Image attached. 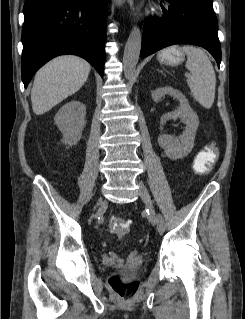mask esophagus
Instances as JSON below:
<instances>
[{
	"label": "esophagus",
	"mask_w": 245,
	"mask_h": 319,
	"mask_svg": "<svg viewBox=\"0 0 245 319\" xmlns=\"http://www.w3.org/2000/svg\"><path fill=\"white\" fill-rule=\"evenodd\" d=\"M114 2L118 7H121L124 5L125 0H114Z\"/></svg>",
	"instance_id": "obj_1"
}]
</instances>
